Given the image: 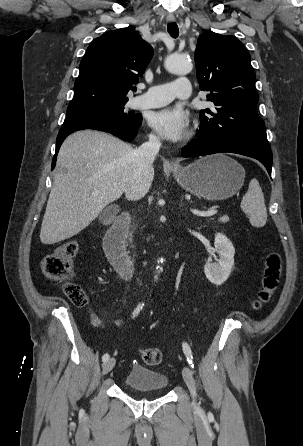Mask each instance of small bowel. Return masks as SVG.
I'll return each mask as SVG.
<instances>
[{"mask_svg": "<svg viewBox=\"0 0 303 446\" xmlns=\"http://www.w3.org/2000/svg\"><path fill=\"white\" fill-rule=\"evenodd\" d=\"M90 318H91V322H92V324L94 325V326H96V327H101L103 324H102V321L99 319V317L93 312V310L90 308ZM125 322V320L123 319V320H119V321H117V322H115L114 324H113V326H121L123 323Z\"/></svg>", "mask_w": 303, "mask_h": 446, "instance_id": "obj_1", "label": "small bowel"}]
</instances>
